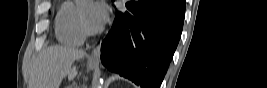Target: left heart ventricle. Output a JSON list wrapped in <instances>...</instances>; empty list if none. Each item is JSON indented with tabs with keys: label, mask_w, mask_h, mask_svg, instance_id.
Returning <instances> with one entry per match:
<instances>
[{
	"label": "left heart ventricle",
	"mask_w": 267,
	"mask_h": 88,
	"mask_svg": "<svg viewBox=\"0 0 267 88\" xmlns=\"http://www.w3.org/2000/svg\"><path fill=\"white\" fill-rule=\"evenodd\" d=\"M91 9L92 6L91 4H86L84 6H82V14L84 16L85 21L87 22V24L91 27H97L94 24H92L91 20H90V13H91Z\"/></svg>",
	"instance_id": "obj_1"
}]
</instances>
